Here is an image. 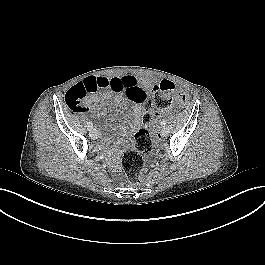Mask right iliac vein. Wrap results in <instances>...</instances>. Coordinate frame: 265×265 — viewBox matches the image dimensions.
Returning a JSON list of instances; mask_svg holds the SVG:
<instances>
[{"mask_svg": "<svg viewBox=\"0 0 265 265\" xmlns=\"http://www.w3.org/2000/svg\"><path fill=\"white\" fill-rule=\"evenodd\" d=\"M89 135H90L91 138L94 139V138H96L98 136V133L96 131H90Z\"/></svg>", "mask_w": 265, "mask_h": 265, "instance_id": "63e3f726", "label": "right iliac vein"}]
</instances>
